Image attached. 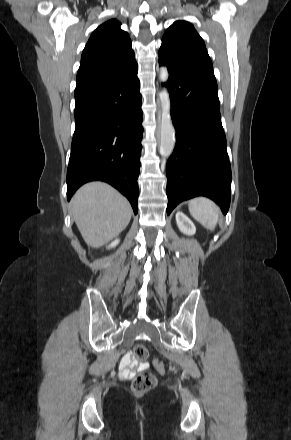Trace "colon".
I'll return each mask as SVG.
<instances>
[{
	"mask_svg": "<svg viewBox=\"0 0 291 440\" xmlns=\"http://www.w3.org/2000/svg\"><path fill=\"white\" fill-rule=\"evenodd\" d=\"M134 356L139 360H146L149 356L147 348L142 344H137L134 347ZM155 367L159 372L165 371V365L162 361L156 360ZM157 379L151 372H140L132 383V391L137 395H143L155 387Z\"/></svg>",
	"mask_w": 291,
	"mask_h": 440,
	"instance_id": "1",
	"label": "colon"
}]
</instances>
